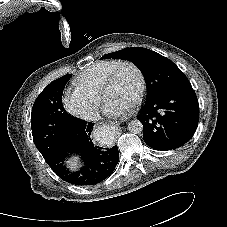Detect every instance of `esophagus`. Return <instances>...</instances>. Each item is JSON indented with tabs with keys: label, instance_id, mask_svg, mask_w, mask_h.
<instances>
[{
	"label": "esophagus",
	"instance_id": "1",
	"mask_svg": "<svg viewBox=\"0 0 227 227\" xmlns=\"http://www.w3.org/2000/svg\"><path fill=\"white\" fill-rule=\"evenodd\" d=\"M110 126H111V127L116 128V130H118V126H117V124H115V123H111V124H110Z\"/></svg>",
	"mask_w": 227,
	"mask_h": 227
}]
</instances>
